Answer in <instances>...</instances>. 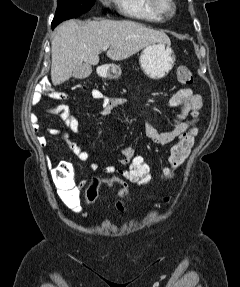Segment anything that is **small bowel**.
<instances>
[{"label": "small bowel", "instance_id": "obj_1", "mask_svg": "<svg viewBox=\"0 0 240 287\" xmlns=\"http://www.w3.org/2000/svg\"><path fill=\"white\" fill-rule=\"evenodd\" d=\"M42 96L43 94L41 92H35L32 96V105L38 104L41 101ZM47 96L59 101L68 99L66 94L57 91H49ZM91 96L101 102L100 115L103 117L110 116L115 108L122 106L126 102V100L121 97H108L98 89H92ZM168 106L174 110L172 115V127L170 130L158 131L150 120H148L145 124L146 136L154 144L159 146H166L178 138L180 134L197 127L200 120V110L203 106V99L201 95L193 93L191 89L183 88L171 96L168 101ZM47 111L52 114L60 115L65 128L70 129L73 133H79L80 128L78 120L74 115L69 113L68 106L66 104H57L47 108ZM187 117H189V119L186 120ZM30 118L31 122L34 124V130H38V116L32 113ZM47 131L50 134L59 135L67 143L69 149L79 160L88 161L90 159L89 152L84 150L76 142L70 140L69 134L65 129L48 128ZM39 143L45 146L47 143L46 138L40 137ZM134 154V149L129 146H124L122 148V157L118 162L123 168H118L116 165L112 164L103 168L101 171L104 174L117 173L120 177L125 178L126 166ZM89 168L92 171H98L100 166L98 163L92 162L90 163ZM61 197L64 203L71 210L77 213L81 212L82 208L80 206V193L78 189L69 195H64L61 193Z\"/></svg>", "mask_w": 240, "mask_h": 287}]
</instances>
